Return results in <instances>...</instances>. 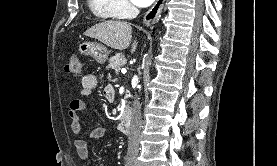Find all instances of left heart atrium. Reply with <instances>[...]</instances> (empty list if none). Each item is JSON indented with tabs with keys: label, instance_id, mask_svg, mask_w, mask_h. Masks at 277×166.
I'll return each mask as SVG.
<instances>
[{
	"label": "left heart atrium",
	"instance_id": "1",
	"mask_svg": "<svg viewBox=\"0 0 277 166\" xmlns=\"http://www.w3.org/2000/svg\"><path fill=\"white\" fill-rule=\"evenodd\" d=\"M135 5L139 7H147L149 6L154 0H131Z\"/></svg>",
	"mask_w": 277,
	"mask_h": 166
}]
</instances>
